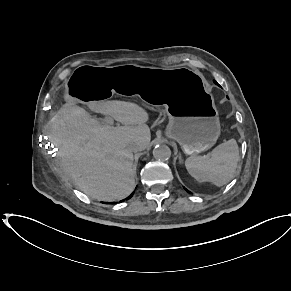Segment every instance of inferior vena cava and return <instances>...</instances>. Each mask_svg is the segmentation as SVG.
<instances>
[{
  "label": "inferior vena cava",
  "mask_w": 291,
  "mask_h": 291,
  "mask_svg": "<svg viewBox=\"0 0 291 291\" xmlns=\"http://www.w3.org/2000/svg\"><path fill=\"white\" fill-rule=\"evenodd\" d=\"M129 150L132 151V152H137L139 150L138 146L135 145V144H131L129 146Z\"/></svg>",
  "instance_id": "602c4592"
}]
</instances>
